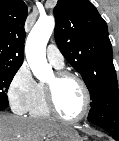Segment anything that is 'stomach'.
<instances>
[{
  "label": "stomach",
  "instance_id": "obj_1",
  "mask_svg": "<svg viewBox=\"0 0 119 141\" xmlns=\"http://www.w3.org/2000/svg\"><path fill=\"white\" fill-rule=\"evenodd\" d=\"M46 141H82L75 129L63 126L61 129L47 135Z\"/></svg>",
  "mask_w": 119,
  "mask_h": 141
}]
</instances>
